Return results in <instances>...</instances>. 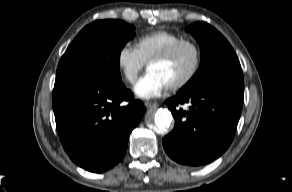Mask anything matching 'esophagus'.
<instances>
[{"label":"esophagus","instance_id":"obj_1","mask_svg":"<svg viewBox=\"0 0 292 192\" xmlns=\"http://www.w3.org/2000/svg\"><path fill=\"white\" fill-rule=\"evenodd\" d=\"M145 107L148 109H156L158 107V104L156 102H145Z\"/></svg>","mask_w":292,"mask_h":192}]
</instances>
